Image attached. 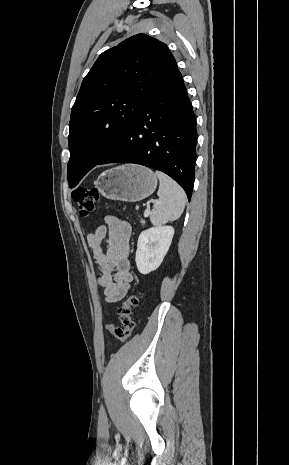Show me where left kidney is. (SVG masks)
I'll list each match as a JSON object with an SVG mask.
<instances>
[{"label": "left kidney", "mask_w": 289, "mask_h": 465, "mask_svg": "<svg viewBox=\"0 0 289 465\" xmlns=\"http://www.w3.org/2000/svg\"><path fill=\"white\" fill-rule=\"evenodd\" d=\"M174 235L172 226H155L141 232L137 242L136 265L141 274H149L162 263Z\"/></svg>", "instance_id": "left-kidney-1"}]
</instances>
